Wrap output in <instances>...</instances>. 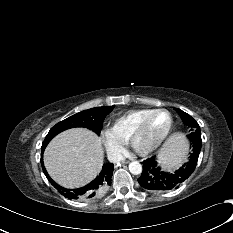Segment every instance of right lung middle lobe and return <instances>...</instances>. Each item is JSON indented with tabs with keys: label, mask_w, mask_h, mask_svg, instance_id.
Segmentation results:
<instances>
[{
	"label": "right lung middle lobe",
	"mask_w": 233,
	"mask_h": 233,
	"mask_svg": "<svg viewBox=\"0 0 233 233\" xmlns=\"http://www.w3.org/2000/svg\"><path fill=\"white\" fill-rule=\"evenodd\" d=\"M114 107L115 106L91 108L57 123L50 129L41 148H45L50 140L58 133L74 127H85L100 134L105 117L114 109Z\"/></svg>",
	"instance_id": "right-lung-middle-lobe-1"
}]
</instances>
